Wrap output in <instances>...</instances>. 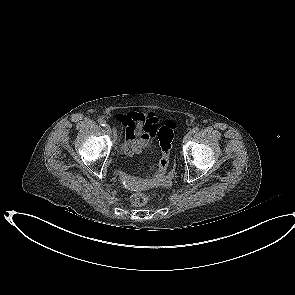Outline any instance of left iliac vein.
<instances>
[{
  "instance_id": "4c4485c4",
  "label": "left iliac vein",
  "mask_w": 295,
  "mask_h": 295,
  "mask_svg": "<svg viewBox=\"0 0 295 295\" xmlns=\"http://www.w3.org/2000/svg\"><path fill=\"white\" fill-rule=\"evenodd\" d=\"M191 136H192L191 132L187 133L183 138V142L189 141L191 139Z\"/></svg>"
}]
</instances>
